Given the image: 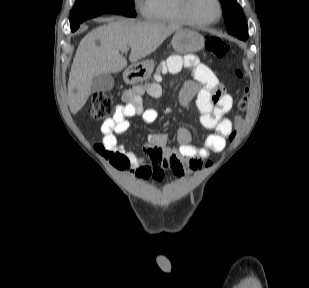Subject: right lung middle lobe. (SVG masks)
Returning <instances> with one entry per match:
<instances>
[{"mask_svg": "<svg viewBox=\"0 0 309 288\" xmlns=\"http://www.w3.org/2000/svg\"><path fill=\"white\" fill-rule=\"evenodd\" d=\"M134 7V0H76L70 13L71 30L75 31L83 21L103 13L135 17Z\"/></svg>", "mask_w": 309, "mask_h": 288, "instance_id": "1", "label": "right lung middle lobe"}]
</instances>
